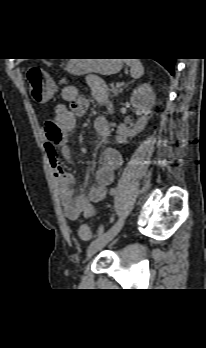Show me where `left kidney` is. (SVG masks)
I'll return each mask as SVG.
<instances>
[{
    "mask_svg": "<svg viewBox=\"0 0 206 348\" xmlns=\"http://www.w3.org/2000/svg\"><path fill=\"white\" fill-rule=\"evenodd\" d=\"M155 100L156 97L150 84L144 83L133 91L130 103L141 114H143V116L137 120L132 129H129L125 124H120L117 127V143H126L128 137H134L144 130L149 119L148 115L151 113L155 105Z\"/></svg>",
    "mask_w": 206,
    "mask_h": 348,
    "instance_id": "1",
    "label": "left kidney"
}]
</instances>
